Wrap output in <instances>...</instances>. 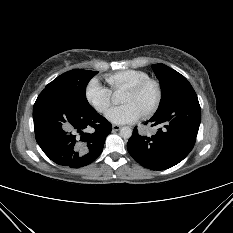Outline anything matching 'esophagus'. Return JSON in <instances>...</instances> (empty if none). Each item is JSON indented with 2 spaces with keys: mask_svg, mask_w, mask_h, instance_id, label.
I'll return each mask as SVG.
<instances>
[{
  "mask_svg": "<svg viewBox=\"0 0 233 233\" xmlns=\"http://www.w3.org/2000/svg\"><path fill=\"white\" fill-rule=\"evenodd\" d=\"M120 128H121L120 125H116V124L112 125V129H113L114 131H118Z\"/></svg>",
  "mask_w": 233,
  "mask_h": 233,
  "instance_id": "34e87169",
  "label": "esophagus"
}]
</instances>
